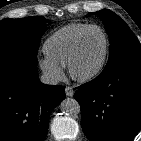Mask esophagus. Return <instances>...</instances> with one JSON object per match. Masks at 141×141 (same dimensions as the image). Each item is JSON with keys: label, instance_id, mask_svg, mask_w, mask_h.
<instances>
[{"label": "esophagus", "instance_id": "obj_1", "mask_svg": "<svg viewBox=\"0 0 141 141\" xmlns=\"http://www.w3.org/2000/svg\"><path fill=\"white\" fill-rule=\"evenodd\" d=\"M65 93H66L67 96L72 97V96L74 95V90H73L72 87L67 86V87L65 88Z\"/></svg>", "mask_w": 141, "mask_h": 141}]
</instances>
